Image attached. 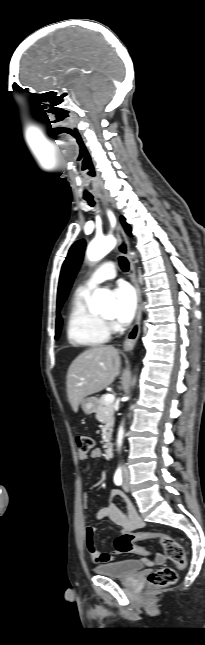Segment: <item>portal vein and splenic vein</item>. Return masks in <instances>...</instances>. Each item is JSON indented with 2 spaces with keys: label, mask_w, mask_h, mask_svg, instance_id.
<instances>
[{
  "label": "portal vein and splenic vein",
  "mask_w": 205,
  "mask_h": 645,
  "mask_svg": "<svg viewBox=\"0 0 205 645\" xmlns=\"http://www.w3.org/2000/svg\"><path fill=\"white\" fill-rule=\"evenodd\" d=\"M104 400L106 403H112L115 400V397L113 394H107L105 395Z\"/></svg>",
  "instance_id": "portal-vein-and-splenic-vein-1"
}]
</instances>
